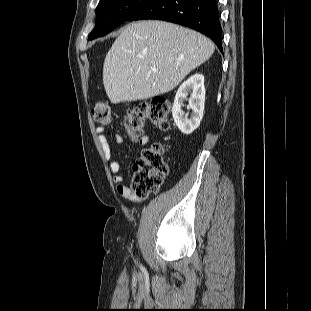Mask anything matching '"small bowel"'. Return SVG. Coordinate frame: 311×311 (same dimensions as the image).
<instances>
[{
  "label": "small bowel",
  "instance_id": "small-bowel-1",
  "mask_svg": "<svg viewBox=\"0 0 311 311\" xmlns=\"http://www.w3.org/2000/svg\"><path fill=\"white\" fill-rule=\"evenodd\" d=\"M95 133L97 136V141L99 143L102 155L108 162L109 170L113 175V181L116 185L118 193L124 198L135 203L143 201L145 199L144 196H139L135 194L130 187H128L126 184L123 183V175L120 173V163L113 158L112 146L108 141L104 128L100 126L96 127ZM114 141L117 145H121L124 142V138L122 135L116 134L114 137ZM148 143L149 137L147 135H143L138 140V144L142 147L146 146Z\"/></svg>",
  "mask_w": 311,
  "mask_h": 311
}]
</instances>
